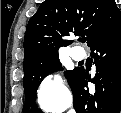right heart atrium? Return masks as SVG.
<instances>
[{
	"instance_id": "1",
	"label": "right heart atrium",
	"mask_w": 121,
	"mask_h": 113,
	"mask_svg": "<svg viewBox=\"0 0 121 113\" xmlns=\"http://www.w3.org/2000/svg\"><path fill=\"white\" fill-rule=\"evenodd\" d=\"M71 95L59 75L46 77L38 89V102L46 110L65 109L70 103Z\"/></svg>"
}]
</instances>
